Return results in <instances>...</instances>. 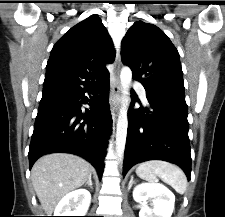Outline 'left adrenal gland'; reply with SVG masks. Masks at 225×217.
Masks as SVG:
<instances>
[{"mask_svg": "<svg viewBox=\"0 0 225 217\" xmlns=\"http://www.w3.org/2000/svg\"><path fill=\"white\" fill-rule=\"evenodd\" d=\"M133 179H134V176L132 175L128 184V190H130V188L132 187V184L134 183Z\"/></svg>", "mask_w": 225, "mask_h": 217, "instance_id": "1", "label": "left adrenal gland"}]
</instances>
